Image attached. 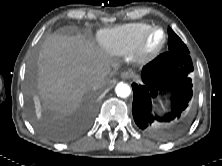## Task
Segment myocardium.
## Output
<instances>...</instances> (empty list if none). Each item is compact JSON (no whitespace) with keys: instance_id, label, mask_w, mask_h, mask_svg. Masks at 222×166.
<instances>
[{"instance_id":"obj_1","label":"myocardium","mask_w":222,"mask_h":166,"mask_svg":"<svg viewBox=\"0 0 222 166\" xmlns=\"http://www.w3.org/2000/svg\"><path fill=\"white\" fill-rule=\"evenodd\" d=\"M155 31H161L162 40L154 48L149 49L147 46L149 37ZM167 42V34L165 30L160 26H150L141 36L139 42L137 43L135 49L133 50V56L135 60L139 63H146L154 60L163 50Z\"/></svg>"}]
</instances>
